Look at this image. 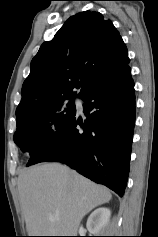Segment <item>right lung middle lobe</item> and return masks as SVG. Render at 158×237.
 <instances>
[{
	"mask_svg": "<svg viewBox=\"0 0 158 237\" xmlns=\"http://www.w3.org/2000/svg\"><path fill=\"white\" fill-rule=\"evenodd\" d=\"M76 114L74 99L54 100L36 112L17 117L15 143L30 158L64 123Z\"/></svg>",
	"mask_w": 158,
	"mask_h": 237,
	"instance_id": "1",
	"label": "right lung middle lobe"
}]
</instances>
